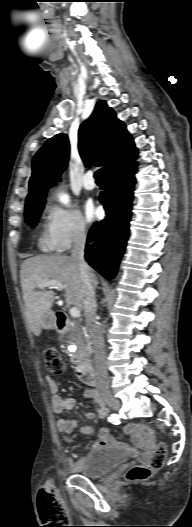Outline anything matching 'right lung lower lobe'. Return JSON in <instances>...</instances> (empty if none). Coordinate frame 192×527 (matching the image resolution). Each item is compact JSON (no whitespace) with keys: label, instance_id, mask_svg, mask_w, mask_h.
I'll use <instances>...</instances> for the list:
<instances>
[{"label":"right lung lower lobe","instance_id":"right-lung-lower-lobe-1","mask_svg":"<svg viewBox=\"0 0 192 527\" xmlns=\"http://www.w3.org/2000/svg\"><path fill=\"white\" fill-rule=\"evenodd\" d=\"M136 157L135 148L105 173V192L99 199L107 215L93 225L87 238L85 258L107 279L116 275L129 236Z\"/></svg>","mask_w":192,"mask_h":527}]
</instances>
